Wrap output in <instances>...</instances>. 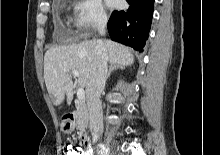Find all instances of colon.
Returning <instances> with one entry per match:
<instances>
[{"label": "colon", "mask_w": 220, "mask_h": 155, "mask_svg": "<svg viewBox=\"0 0 220 155\" xmlns=\"http://www.w3.org/2000/svg\"><path fill=\"white\" fill-rule=\"evenodd\" d=\"M86 145L65 143L63 145V155H82V153H84V149Z\"/></svg>", "instance_id": "colon-1"}]
</instances>
